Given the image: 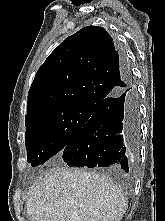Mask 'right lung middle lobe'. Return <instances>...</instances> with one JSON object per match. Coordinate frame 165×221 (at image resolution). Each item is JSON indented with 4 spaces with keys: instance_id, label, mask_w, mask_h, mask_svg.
Returning a JSON list of instances; mask_svg holds the SVG:
<instances>
[{
    "instance_id": "obj_1",
    "label": "right lung middle lobe",
    "mask_w": 165,
    "mask_h": 221,
    "mask_svg": "<svg viewBox=\"0 0 165 221\" xmlns=\"http://www.w3.org/2000/svg\"><path fill=\"white\" fill-rule=\"evenodd\" d=\"M91 105L49 108L25 119L27 161L38 166L62 152L90 119Z\"/></svg>"
}]
</instances>
